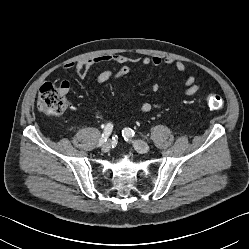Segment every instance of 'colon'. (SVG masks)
I'll return each mask as SVG.
<instances>
[{"instance_id": "1", "label": "colon", "mask_w": 249, "mask_h": 249, "mask_svg": "<svg viewBox=\"0 0 249 249\" xmlns=\"http://www.w3.org/2000/svg\"><path fill=\"white\" fill-rule=\"evenodd\" d=\"M207 105L212 110H220L224 106L223 99L214 93H209L206 97ZM37 107L39 111L47 115H61L69 107V102L61 90L52 83H44L38 92Z\"/></svg>"}]
</instances>
